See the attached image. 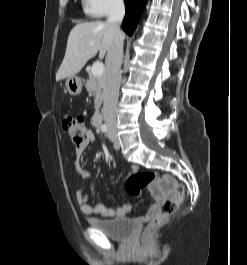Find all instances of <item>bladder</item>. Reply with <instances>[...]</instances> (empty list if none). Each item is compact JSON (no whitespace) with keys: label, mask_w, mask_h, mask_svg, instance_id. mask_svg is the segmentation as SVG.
Returning <instances> with one entry per match:
<instances>
[{"label":"bladder","mask_w":247,"mask_h":265,"mask_svg":"<svg viewBox=\"0 0 247 265\" xmlns=\"http://www.w3.org/2000/svg\"><path fill=\"white\" fill-rule=\"evenodd\" d=\"M90 227L116 241H125L135 230V224L127 218L88 219Z\"/></svg>","instance_id":"bladder-1"}]
</instances>
